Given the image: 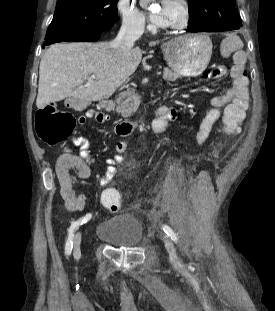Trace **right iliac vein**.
<instances>
[{
    "instance_id": "63e3f726",
    "label": "right iliac vein",
    "mask_w": 275,
    "mask_h": 311,
    "mask_svg": "<svg viewBox=\"0 0 275 311\" xmlns=\"http://www.w3.org/2000/svg\"><path fill=\"white\" fill-rule=\"evenodd\" d=\"M81 232L78 231L74 237V241H73V249H74V257L75 258H78L81 254V251H80V244H81Z\"/></svg>"
}]
</instances>
